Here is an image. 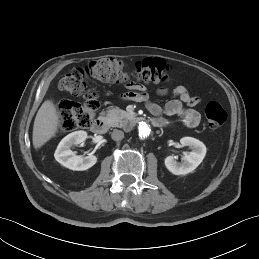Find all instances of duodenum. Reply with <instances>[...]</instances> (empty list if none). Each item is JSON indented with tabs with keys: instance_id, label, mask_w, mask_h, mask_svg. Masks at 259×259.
Returning a JSON list of instances; mask_svg holds the SVG:
<instances>
[{
	"instance_id": "410a0bca",
	"label": "duodenum",
	"mask_w": 259,
	"mask_h": 259,
	"mask_svg": "<svg viewBox=\"0 0 259 259\" xmlns=\"http://www.w3.org/2000/svg\"><path fill=\"white\" fill-rule=\"evenodd\" d=\"M130 118L135 125H138L142 121L136 114H130ZM150 122L156 127H162L165 125V121L162 118H153ZM107 128L108 124L104 117L97 118L92 124V131L96 134L106 133Z\"/></svg>"
}]
</instances>
